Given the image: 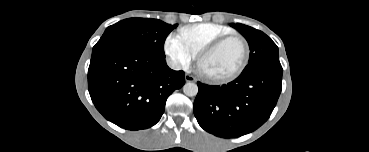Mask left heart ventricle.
Returning a JSON list of instances; mask_svg holds the SVG:
<instances>
[{"instance_id": "obj_1", "label": "left heart ventricle", "mask_w": 369, "mask_h": 152, "mask_svg": "<svg viewBox=\"0 0 369 152\" xmlns=\"http://www.w3.org/2000/svg\"><path fill=\"white\" fill-rule=\"evenodd\" d=\"M244 47L239 40H230L201 63V70L211 76L221 77L234 72L242 63Z\"/></svg>"}]
</instances>
